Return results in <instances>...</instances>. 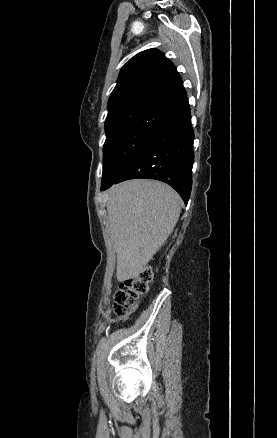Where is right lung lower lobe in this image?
<instances>
[{
	"label": "right lung lower lobe",
	"instance_id": "98d812e1",
	"mask_svg": "<svg viewBox=\"0 0 277 438\" xmlns=\"http://www.w3.org/2000/svg\"><path fill=\"white\" fill-rule=\"evenodd\" d=\"M194 132L187 96L173 104L160 120L142 148L112 182L134 179H156L171 185L187 205L192 188Z\"/></svg>",
	"mask_w": 277,
	"mask_h": 438
}]
</instances>
